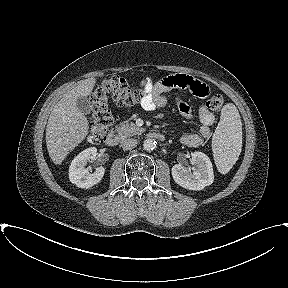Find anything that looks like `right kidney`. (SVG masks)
Masks as SVG:
<instances>
[{"mask_svg":"<svg viewBox=\"0 0 288 288\" xmlns=\"http://www.w3.org/2000/svg\"><path fill=\"white\" fill-rule=\"evenodd\" d=\"M96 155L97 149L90 147L83 150L72 160L69 167V179L71 183L80 188L88 189L102 180L105 173L103 167L96 168L93 173L85 168L89 161L95 160Z\"/></svg>","mask_w":288,"mask_h":288,"instance_id":"right-kidney-1","label":"right kidney"}]
</instances>
